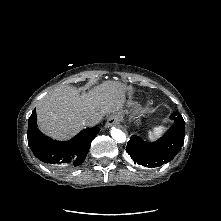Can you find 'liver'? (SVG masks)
<instances>
[{
	"label": "liver",
	"mask_w": 221,
	"mask_h": 221,
	"mask_svg": "<svg viewBox=\"0 0 221 221\" xmlns=\"http://www.w3.org/2000/svg\"><path fill=\"white\" fill-rule=\"evenodd\" d=\"M126 86L118 81H105L88 93L62 85L45 95L37 104V121L46 135L66 140L83 129L84 121L96 117L99 121L122 109Z\"/></svg>",
	"instance_id": "liver-1"
}]
</instances>
